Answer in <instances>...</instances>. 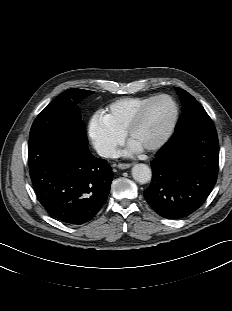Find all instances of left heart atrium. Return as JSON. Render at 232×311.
Instances as JSON below:
<instances>
[{"mask_svg": "<svg viewBox=\"0 0 232 311\" xmlns=\"http://www.w3.org/2000/svg\"><path fill=\"white\" fill-rule=\"evenodd\" d=\"M141 150H142L141 147L130 141L126 149L124 150L123 154L125 156H131L133 154L139 153Z\"/></svg>", "mask_w": 232, "mask_h": 311, "instance_id": "obj_1", "label": "left heart atrium"}]
</instances>
